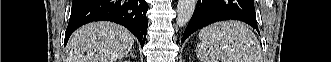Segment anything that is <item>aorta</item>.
Returning a JSON list of instances; mask_svg holds the SVG:
<instances>
[{
	"label": "aorta",
	"instance_id": "1",
	"mask_svg": "<svg viewBox=\"0 0 331 62\" xmlns=\"http://www.w3.org/2000/svg\"><path fill=\"white\" fill-rule=\"evenodd\" d=\"M197 0H178L176 24L179 27L187 25L196 7Z\"/></svg>",
	"mask_w": 331,
	"mask_h": 62
}]
</instances>
